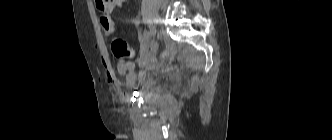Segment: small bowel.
Returning a JSON list of instances; mask_svg holds the SVG:
<instances>
[{"label":"small bowel","mask_w":332,"mask_h":140,"mask_svg":"<svg viewBox=\"0 0 332 140\" xmlns=\"http://www.w3.org/2000/svg\"><path fill=\"white\" fill-rule=\"evenodd\" d=\"M113 8L109 7L105 10V12H110ZM142 46L144 43L142 42ZM156 52V48L152 47L148 53V55L139 61L138 65L140 70L136 72L135 64L131 61H127L124 59H120L117 64V71L121 76L125 77L124 86L128 89L134 88L136 86L142 85L145 83L147 78V70L153 67L154 55ZM107 67V75L110 81H112L115 85H121L120 82L115 77L114 72L110 69L109 65Z\"/></svg>","instance_id":"obj_1"}]
</instances>
